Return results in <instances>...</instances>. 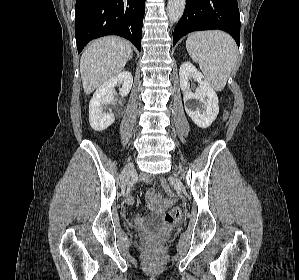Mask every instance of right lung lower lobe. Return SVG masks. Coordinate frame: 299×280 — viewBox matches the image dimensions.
Returning <instances> with one entry per match:
<instances>
[{
	"label": "right lung lower lobe",
	"instance_id": "1",
	"mask_svg": "<svg viewBox=\"0 0 299 280\" xmlns=\"http://www.w3.org/2000/svg\"><path fill=\"white\" fill-rule=\"evenodd\" d=\"M145 0H76L75 36L78 53L96 38L118 35L141 51Z\"/></svg>",
	"mask_w": 299,
	"mask_h": 280
}]
</instances>
